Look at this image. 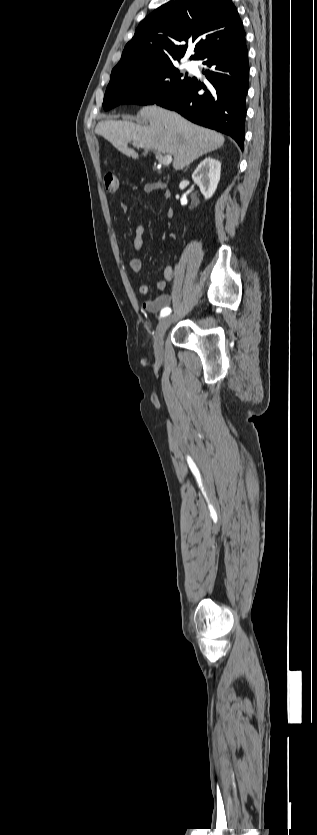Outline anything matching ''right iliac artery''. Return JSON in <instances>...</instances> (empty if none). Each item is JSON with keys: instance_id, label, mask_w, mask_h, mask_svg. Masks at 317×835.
<instances>
[{"instance_id": "1", "label": "right iliac artery", "mask_w": 317, "mask_h": 835, "mask_svg": "<svg viewBox=\"0 0 317 835\" xmlns=\"http://www.w3.org/2000/svg\"><path fill=\"white\" fill-rule=\"evenodd\" d=\"M170 313H171V308L166 307V308L162 309V311H161V313H160V316H161V317H164V316L169 315Z\"/></svg>"}]
</instances>
